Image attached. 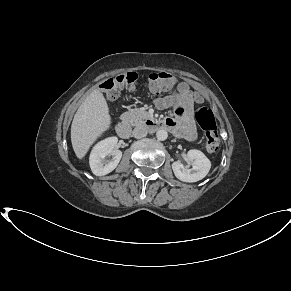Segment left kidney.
<instances>
[{
  "label": "left kidney",
  "instance_id": "5707ae66",
  "mask_svg": "<svg viewBox=\"0 0 291 291\" xmlns=\"http://www.w3.org/2000/svg\"><path fill=\"white\" fill-rule=\"evenodd\" d=\"M187 159L191 162L192 168L184 166L181 162L172 163L175 176L183 182H197L203 179L211 168L210 160L199 150H189Z\"/></svg>",
  "mask_w": 291,
  "mask_h": 291
}]
</instances>
